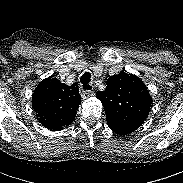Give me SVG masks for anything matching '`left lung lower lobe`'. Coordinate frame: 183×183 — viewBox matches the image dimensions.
I'll return each mask as SVG.
<instances>
[{
  "label": "left lung lower lobe",
  "mask_w": 183,
  "mask_h": 183,
  "mask_svg": "<svg viewBox=\"0 0 183 183\" xmlns=\"http://www.w3.org/2000/svg\"><path fill=\"white\" fill-rule=\"evenodd\" d=\"M108 126L111 128L112 131L120 135H126L136 130L135 128L120 127L118 125L112 124H109Z\"/></svg>",
  "instance_id": "0a47b994"
}]
</instances>
